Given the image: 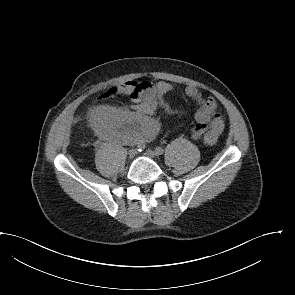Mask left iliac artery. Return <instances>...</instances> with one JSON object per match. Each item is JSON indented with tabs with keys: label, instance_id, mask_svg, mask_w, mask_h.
Masks as SVG:
<instances>
[{
	"label": "left iliac artery",
	"instance_id": "left-iliac-artery-1",
	"mask_svg": "<svg viewBox=\"0 0 295 295\" xmlns=\"http://www.w3.org/2000/svg\"><path fill=\"white\" fill-rule=\"evenodd\" d=\"M155 152L157 155H162L164 153V150L162 147H156Z\"/></svg>",
	"mask_w": 295,
	"mask_h": 295
}]
</instances>
